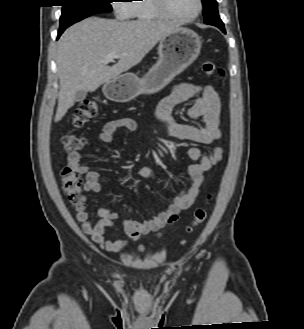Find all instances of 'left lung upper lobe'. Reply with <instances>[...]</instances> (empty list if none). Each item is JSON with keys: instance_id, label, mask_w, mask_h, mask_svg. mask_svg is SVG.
<instances>
[{"instance_id": "obj_1", "label": "left lung upper lobe", "mask_w": 304, "mask_h": 329, "mask_svg": "<svg viewBox=\"0 0 304 329\" xmlns=\"http://www.w3.org/2000/svg\"><path fill=\"white\" fill-rule=\"evenodd\" d=\"M203 6H204V11L203 15L206 18L207 15L217 9V1L216 0H202Z\"/></svg>"}]
</instances>
